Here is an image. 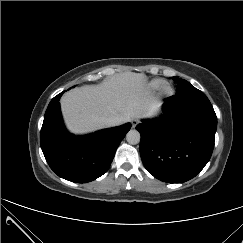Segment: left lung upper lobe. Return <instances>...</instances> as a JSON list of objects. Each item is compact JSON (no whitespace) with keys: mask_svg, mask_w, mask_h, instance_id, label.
<instances>
[{"mask_svg":"<svg viewBox=\"0 0 243 243\" xmlns=\"http://www.w3.org/2000/svg\"><path fill=\"white\" fill-rule=\"evenodd\" d=\"M172 79L178 83V87L176 90L182 88L183 86H192L189 82L182 80L178 77H172ZM198 95H199L198 96L199 100L192 103V106L194 107V109L199 110V111H208V112L214 111V109H213L210 101L206 97V95L203 92H201L200 90L198 92Z\"/></svg>","mask_w":243,"mask_h":243,"instance_id":"left-lung-upper-lobe-1","label":"left lung upper lobe"}]
</instances>
